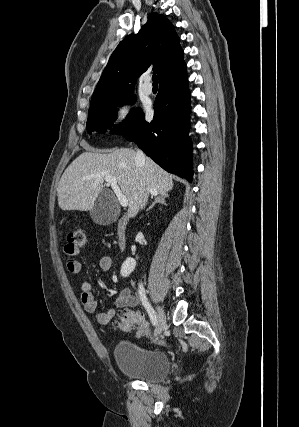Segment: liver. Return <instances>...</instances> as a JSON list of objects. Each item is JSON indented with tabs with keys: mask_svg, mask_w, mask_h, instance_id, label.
Segmentation results:
<instances>
[{
	"mask_svg": "<svg viewBox=\"0 0 299 427\" xmlns=\"http://www.w3.org/2000/svg\"><path fill=\"white\" fill-rule=\"evenodd\" d=\"M106 175L116 178L128 200V216L137 215L144 197L167 193L173 188L172 176L153 160L137 158L130 148L111 153L84 152L63 173L57 188L62 210L89 211L103 190Z\"/></svg>",
	"mask_w": 299,
	"mask_h": 427,
	"instance_id": "1",
	"label": "liver"
}]
</instances>
